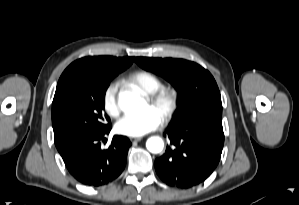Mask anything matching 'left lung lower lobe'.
<instances>
[{
	"label": "left lung lower lobe",
	"mask_w": 299,
	"mask_h": 205,
	"mask_svg": "<svg viewBox=\"0 0 299 205\" xmlns=\"http://www.w3.org/2000/svg\"><path fill=\"white\" fill-rule=\"evenodd\" d=\"M165 136L170 146L155 160L156 172L169 186L190 188L207 179L219 163L224 144L222 115L171 123Z\"/></svg>",
	"instance_id": "0a47b994"
}]
</instances>
